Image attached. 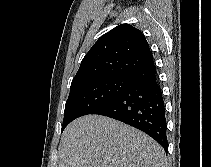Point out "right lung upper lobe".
<instances>
[{
	"mask_svg": "<svg viewBox=\"0 0 211 167\" xmlns=\"http://www.w3.org/2000/svg\"><path fill=\"white\" fill-rule=\"evenodd\" d=\"M153 63L149 44L142 32L129 24H121L92 46L70 88L102 77H128Z\"/></svg>",
	"mask_w": 211,
	"mask_h": 167,
	"instance_id": "1",
	"label": "right lung upper lobe"
}]
</instances>
